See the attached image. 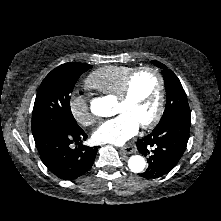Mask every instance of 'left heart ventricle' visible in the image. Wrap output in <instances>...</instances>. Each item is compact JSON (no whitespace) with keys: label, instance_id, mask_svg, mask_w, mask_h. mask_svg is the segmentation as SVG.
I'll return each mask as SVG.
<instances>
[{"label":"left heart ventricle","instance_id":"left-heart-ventricle-1","mask_svg":"<svg viewBox=\"0 0 221 221\" xmlns=\"http://www.w3.org/2000/svg\"><path fill=\"white\" fill-rule=\"evenodd\" d=\"M159 83L152 73H141L132 85L131 95L128 100H117L115 114L127 113L141 125L149 121L157 107Z\"/></svg>","mask_w":221,"mask_h":221}]
</instances>
